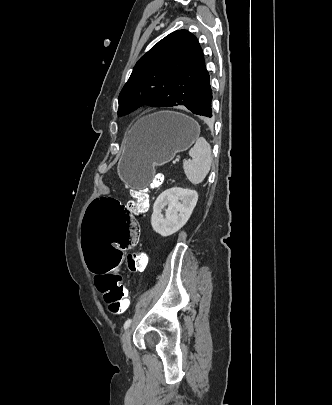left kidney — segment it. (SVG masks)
I'll use <instances>...</instances> for the list:
<instances>
[{"instance_id": "1", "label": "left kidney", "mask_w": 332, "mask_h": 405, "mask_svg": "<svg viewBox=\"0 0 332 405\" xmlns=\"http://www.w3.org/2000/svg\"><path fill=\"white\" fill-rule=\"evenodd\" d=\"M198 200L195 190L174 187L162 192L153 206L151 225L163 237L180 230L189 220ZM181 201V202H179ZM165 216L162 210L165 209Z\"/></svg>"}]
</instances>
